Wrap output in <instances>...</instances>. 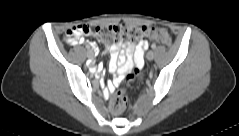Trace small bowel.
<instances>
[{
  "label": "small bowel",
  "mask_w": 239,
  "mask_h": 136,
  "mask_svg": "<svg viewBox=\"0 0 239 136\" xmlns=\"http://www.w3.org/2000/svg\"><path fill=\"white\" fill-rule=\"evenodd\" d=\"M91 45L96 48L95 42ZM148 49V44L145 41L138 43H130L126 49L123 50V43L119 39L108 47L110 52L109 70L116 73V77L107 84L108 92H111L115 86L120 83L122 74L132 69L133 67H142L144 64V50Z\"/></svg>",
  "instance_id": "1"
}]
</instances>
